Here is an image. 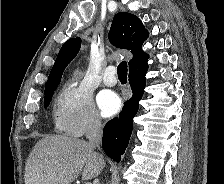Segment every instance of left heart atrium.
<instances>
[{"instance_id": "left-heart-atrium-1", "label": "left heart atrium", "mask_w": 224, "mask_h": 184, "mask_svg": "<svg viewBox=\"0 0 224 184\" xmlns=\"http://www.w3.org/2000/svg\"><path fill=\"white\" fill-rule=\"evenodd\" d=\"M98 105L104 117L116 114L121 108L120 98L113 92L105 91L98 98Z\"/></svg>"}]
</instances>
